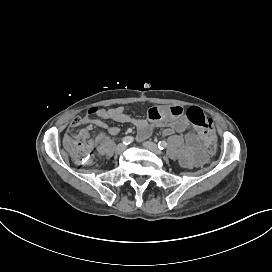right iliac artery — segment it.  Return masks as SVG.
Listing matches in <instances>:
<instances>
[{"label":"right iliac artery","instance_id":"obj_1","mask_svg":"<svg viewBox=\"0 0 272 272\" xmlns=\"http://www.w3.org/2000/svg\"><path fill=\"white\" fill-rule=\"evenodd\" d=\"M134 141V138L132 136H126L123 138L122 142L125 145H128Z\"/></svg>","mask_w":272,"mask_h":272}]
</instances>
